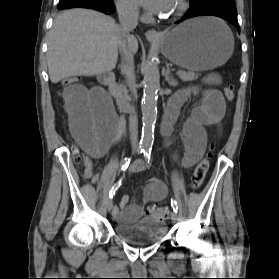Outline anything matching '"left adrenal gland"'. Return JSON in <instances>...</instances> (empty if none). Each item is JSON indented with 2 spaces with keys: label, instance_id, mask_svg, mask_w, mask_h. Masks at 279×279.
Returning a JSON list of instances; mask_svg holds the SVG:
<instances>
[{
  "label": "left adrenal gland",
  "instance_id": "a2214340",
  "mask_svg": "<svg viewBox=\"0 0 279 279\" xmlns=\"http://www.w3.org/2000/svg\"><path fill=\"white\" fill-rule=\"evenodd\" d=\"M165 81L172 87H177L178 83L174 78L171 76L170 69L167 68L166 74H165Z\"/></svg>",
  "mask_w": 279,
  "mask_h": 279
}]
</instances>
